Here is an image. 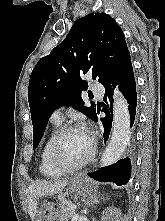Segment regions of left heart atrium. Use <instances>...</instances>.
<instances>
[{
	"label": "left heart atrium",
	"mask_w": 165,
	"mask_h": 221,
	"mask_svg": "<svg viewBox=\"0 0 165 221\" xmlns=\"http://www.w3.org/2000/svg\"><path fill=\"white\" fill-rule=\"evenodd\" d=\"M86 133L90 136V132L89 131H86ZM91 137V136H90Z\"/></svg>",
	"instance_id": "left-heart-atrium-1"
}]
</instances>
